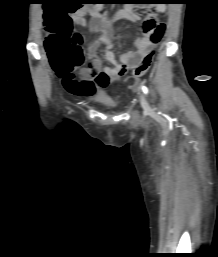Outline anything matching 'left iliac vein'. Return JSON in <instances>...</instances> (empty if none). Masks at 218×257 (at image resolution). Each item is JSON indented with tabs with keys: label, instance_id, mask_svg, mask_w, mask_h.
<instances>
[{
	"label": "left iliac vein",
	"instance_id": "obj_1",
	"mask_svg": "<svg viewBox=\"0 0 218 257\" xmlns=\"http://www.w3.org/2000/svg\"><path fill=\"white\" fill-rule=\"evenodd\" d=\"M139 101H140V104L144 110V112L146 114H151L153 112L152 108L150 107L146 97L144 96V94L140 93L139 94Z\"/></svg>",
	"mask_w": 218,
	"mask_h": 257
}]
</instances>
